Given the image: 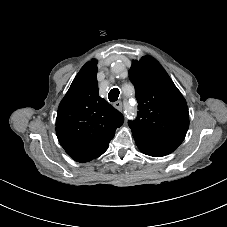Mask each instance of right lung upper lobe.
<instances>
[{"mask_svg": "<svg viewBox=\"0 0 227 227\" xmlns=\"http://www.w3.org/2000/svg\"><path fill=\"white\" fill-rule=\"evenodd\" d=\"M97 63L92 59L81 68L57 111V138L80 163L102 155L124 122L123 115L98 94Z\"/></svg>", "mask_w": 227, "mask_h": 227, "instance_id": "obj_1", "label": "right lung upper lobe"}]
</instances>
